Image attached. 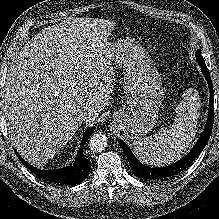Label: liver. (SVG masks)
Here are the masks:
<instances>
[{"instance_id": "6515ba94", "label": "liver", "mask_w": 219, "mask_h": 219, "mask_svg": "<svg viewBox=\"0 0 219 219\" xmlns=\"http://www.w3.org/2000/svg\"><path fill=\"white\" fill-rule=\"evenodd\" d=\"M114 26L67 18L20 50L7 74L4 113L11 141L28 162L44 165L108 104L115 79L107 41ZM86 108L97 116L81 119Z\"/></svg>"}]
</instances>
